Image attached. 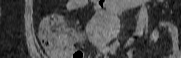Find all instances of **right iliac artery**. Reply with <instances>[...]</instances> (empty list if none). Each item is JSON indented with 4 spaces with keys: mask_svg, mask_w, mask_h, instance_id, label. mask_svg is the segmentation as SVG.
I'll use <instances>...</instances> for the list:
<instances>
[{
    "mask_svg": "<svg viewBox=\"0 0 181 58\" xmlns=\"http://www.w3.org/2000/svg\"><path fill=\"white\" fill-rule=\"evenodd\" d=\"M133 41H134L133 38H129V40H128L127 43H126V46H129Z\"/></svg>",
    "mask_w": 181,
    "mask_h": 58,
    "instance_id": "82829eb1",
    "label": "right iliac artery"
}]
</instances>
